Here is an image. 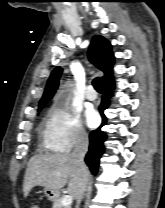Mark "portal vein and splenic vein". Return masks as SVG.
Here are the masks:
<instances>
[{"label":"portal vein and splenic vein","mask_w":165,"mask_h":208,"mask_svg":"<svg viewBox=\"0 0 165 208\" xmlns=\"http://www.w3.org/2000/svg\"><path fill=\"white\" fill-rule=\"evenodd\" d=\"M71 203H72V196H71V195H66V196L63 197V199H62V204H63L64 206H68V205H70Z\"/></svg>","instance_id":"obj_1"}]
</instances>
